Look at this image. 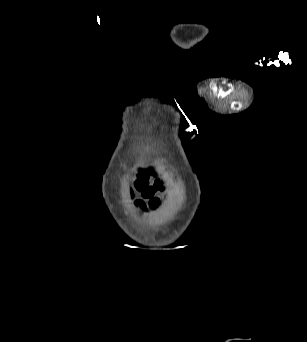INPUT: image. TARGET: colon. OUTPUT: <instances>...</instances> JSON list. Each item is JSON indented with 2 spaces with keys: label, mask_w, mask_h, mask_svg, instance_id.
<instances>
[{
  "label": "colon",
  "mask_w": 307,
  "mask_h": 342,
  "mask_svg": "<svg viewBox=\"0 0 307 342\" xmlns=\"http://www.w3.org/2000/svg\"><path fill=\"white\" fill-rule=\"evenodd\" d=\"M148 175L149 174L147 173V171H144L140 174V178L138 179V183H139L138 189L144 195L151 194V191L153 189V186H148L146 184V179L149 177ZM156 185H157V183H156ZM146 201L148 202L149 200H146Z\"/></svg>",
  "instance_id": "obj_1"
}]
</instances>
